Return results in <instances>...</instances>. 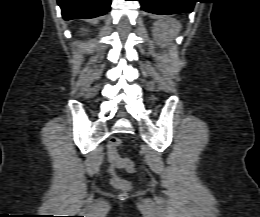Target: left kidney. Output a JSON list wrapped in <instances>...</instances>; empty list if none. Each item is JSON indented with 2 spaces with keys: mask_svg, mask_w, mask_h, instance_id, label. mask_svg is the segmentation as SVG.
<instances>
[{
  "mask_svg": "<svg viewBox=\"0 0 260 217\" xmlns=\"http://www.w3.org/2000/svg\"><path fill=\"white\" fill-rule=\"evenodd\" d=\"M163 31H168L171 36L174 35V33H175V30L173 29V27L164 26L160 22H155L154 27H153V36L156 39L158 44H161L160 37H161Z\"/></svg>",
  "mask_w": 260,
  "mask_h": 217,
  "instance_id": "5707ae66",
  "label": "left kidney"
}]
</instances>
